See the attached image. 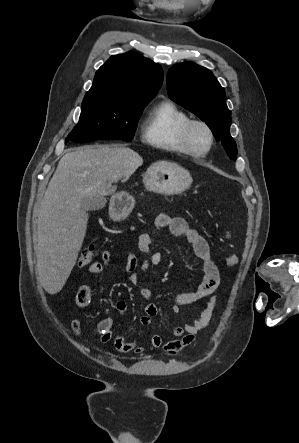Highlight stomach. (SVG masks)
<instances>
[{
  "label": "stomach",
  "instance_id": "1",
  "mask_svg": "<svg viewBox=\"0 0 299 443\" xmlns=\"http://www.w3.org/2000/svg\"><path fill=\"white\" fill-rule=\"evenodd\" d=\"M146 189L160 194L174 195L188 189L192 183L190 173L175 163L151 165L143 176ZM134 206V198L119 192L111 197L109 214L112 219L121 220L128 216Z\"/></svg>",
  "mask_w": 299,
  "mask_h": 443
}]
</instances>
